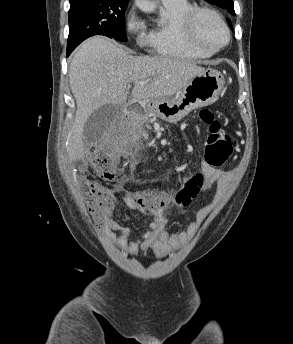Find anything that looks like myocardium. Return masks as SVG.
Here are the masks:
<instances>
[{
  "label": "myocardium",
  "mask_w": 293,
  "mask_h": 344,
  "mask_svg": "<svg viewBox=\"0 0 293 344\" xmlns=\"http://www.w3.org/2000/svg\"><path fill=\"white\" fill-rule=\"evenodd\" d=\"M202 14H208L214 17L220 25L223 27L225 34H226V39L223 44L216 48H208L205 45H203L197 38L196 35V23L199 19V17ZM182 27V32L185 37V40L195 49L208 53V54H215L222 49H224L230 42L231 39V32L230 29L222 17V15L216 11L215 9L209 8V7H195L193 8L182 20L181 23Z\"/></svg>",
  "instance_id": "1"
}]
</instances>
